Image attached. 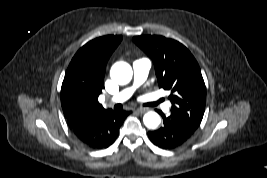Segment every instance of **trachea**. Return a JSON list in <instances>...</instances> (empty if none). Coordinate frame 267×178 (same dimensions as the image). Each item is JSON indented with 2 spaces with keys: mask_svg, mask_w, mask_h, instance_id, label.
Returning a JSON list of instances; mask_svg holds the SVG:
<instances>
[{
  "mask_svg": "<svg viewBox=\"0 0 267 178\" xmlns=\"http://www.w3.org/2000/svg\"><path fill=\"white\" fill-rule=\"evenodd\" d=\"M161 102H162V101L159 100V101H157V102L151 103V105H152V106H156L157 104H159V103H161Z\"/></svg>",
  "mask_w": 267,
  "mask_h": 178,
  "instance_id": "1",
  "label": "trachea"
}]
</instances>
